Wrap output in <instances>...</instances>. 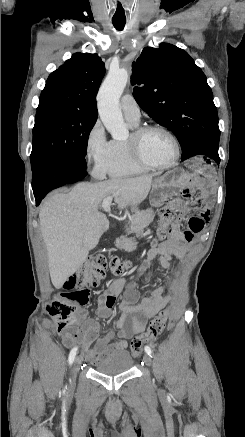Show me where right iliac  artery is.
<instances>
[{
	"label": "right iliac artery",
	"instance_id": "82829eb1",
	"mask_svg": "<svg viewBox=\"0 0 245 437\" xmlns=\"http://www.w3.org/2000/svg\"><path fill=\"white\" fill-rule=\"evenodd\" d=\"M76 353H77V347H74V348L70 351L69 358H68V361H69V364H70V365L73 363V361H74V359H75V356H76Z\"/></svg>",
	"mask_w": 245,
	"mask_h": 437
}]
</instances>
